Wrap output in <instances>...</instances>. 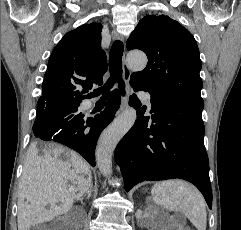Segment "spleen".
<instances>
[{
  "instance_id": "1",
  "label": "spleen",
  "mask_w": 241,
  "mask_h": 230,
  "mask_svg": "<svg viewBox=\"0 0 241 230\" xmlns=\"http://www.w3.org/2000/svg\"><path fill=\"white\" fill-rule=\"evenodd\" d=\"M151 194L157 205L170 211H181L198 230L206 229L205 200L191 184L179 180L157 182Z\"/></svg>"
}]
</instances>
